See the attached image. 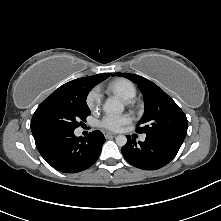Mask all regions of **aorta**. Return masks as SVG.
<instances>
[{
    "mask_svg": "<svg viewBox=\"0 0 221 221\" xmlns=\"http://www.w3.org/2000/svg\"><path fill=\"white\" fill-rule=\"evenodd\" d=\"M103 110L108 114H119L124 111V105L116 98H108L103 105ZM116 143L120 147L125 146L127 143L126 136L118 135Z\"/></svg>",
    "mask_w": 221,
    "mask_h": 221,
    "instance_id": "1",
    "label": "aorta"
}]
</instances>
